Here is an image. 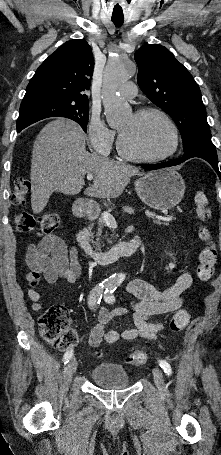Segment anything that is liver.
Listing matches in <instances>:
<instances>
[{"instance_id": "1", "label": "liver", "mask_w": 221, "mask_h": 455, "mask_svg": "<svg viewBox=\"0 0 221 455\" xmlns=\"http://www.w3.org/2000/svg\"><path fill=\"white\" fill-rule=\"evenodd\" d=\"M86 174H93V185L85 195L117 198L137 168L91 154L86 150L85 134L72 120L57 118L39 132L31 159V207L34 214L44 210L53 192L79 194Z\"/></svg>"}]
</instances>
